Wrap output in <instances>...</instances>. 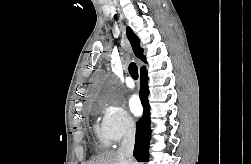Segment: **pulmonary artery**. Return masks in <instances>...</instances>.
Listing matches in <instances>:
<instances>
[{"label": "pulmonary artery", "instance_id": "pulmonary-artery-1", "mask_svg": "<svg viewBox=\"0 0 251 164\" xmlns=\"http://www.w3.org/2000/svg\"><path fill=\"white\" fill-rule=\"evenodd\" d=\"M125 82H126L127 87L134 88L135 83L131 77H127Z\"/></svg>", "mask_w": 251, "mask_h": 164}]
</instances>
